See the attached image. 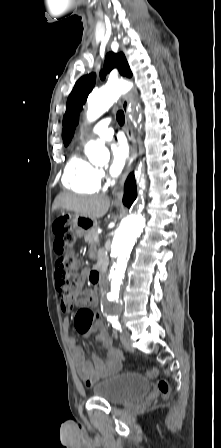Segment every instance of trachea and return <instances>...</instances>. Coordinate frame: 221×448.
<instances>
[{"mask_svg": "<svg viewBox=\"0 0 221 448\" xmlns=\"http://www.w3.org/2000/svg\"><path fill=\"white\" fill-rule=\"evenodd\" d=\"M116 117H117V121H118V123H119L120 125H123V124H124V121H125L124 112H123L122 110L118 111Z\"/></svg>", "mask_w": 221, "mask_h": 448, "instance_id": "1", "label": "trachea"}]
</instances>
